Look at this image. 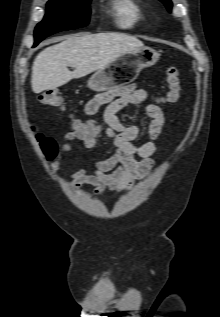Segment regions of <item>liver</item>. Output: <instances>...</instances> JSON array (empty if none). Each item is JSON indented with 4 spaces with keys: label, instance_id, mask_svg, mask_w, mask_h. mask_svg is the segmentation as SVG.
<instances>
[{
    "label": "liver",
    "instance_id": "liver-1",
    "mask_svg": "<svg viewBox=\"0 0 220 317\" xmlns=\"http://www.w3.org/2000/svg\"><path fill=\"white\" fill-rule=\"evenodd\" d=\"M142 41L123 33L81 34L47 47L35 58L31 86L35 93L55 89L74 78L103 69L124 53L143 48ZM68 67L75 68L70 71Z\"/></svg>",
    "mask_w": 220,
    "mask_h": 317
}]
</instances>
